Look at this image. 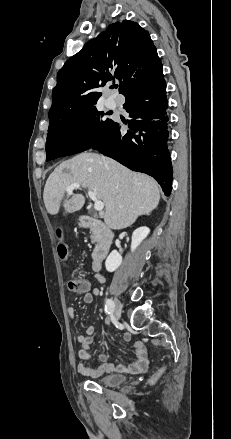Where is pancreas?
<instances>
[{
    "label": "pancreas",
    "mask_w": 231,
    "mask_h": 439,
    "mask_svg": "<svg viewBox=\"0 0 231 439\" xmlns=\"http://www.w3.org/2000/svg\"><path fill=\"white\" fill-rule=\"evenodd\" d=\"M100 241V235L96 232H92L91 234V242L98 243Z\"/></svg>",
    "instance_id": "cf45deb5"
}]
</instances>
